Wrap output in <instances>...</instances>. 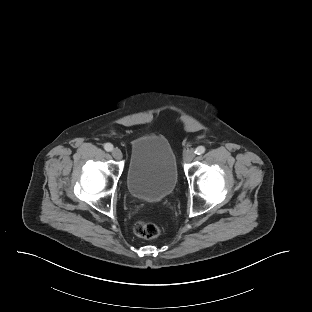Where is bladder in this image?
Masks as SVG:
<instances>
[{
  "label": "bladder",
  "instance_id": "obj_1",
  "mask_svg": "<svg viewBox=\"0 0 312 312\" xmlns=\"http://www.w3.org/2000/svg\"><path fill=\"white\" fill-rule=\"evenodd\" d=\"M178 167L175 152L162 135H143L130 144L126 174L129 194L156 202L168 197L176 187Z\"/></svg>",
  "mask_w": 312,
  "mask_h": 312
}]
</instances>
